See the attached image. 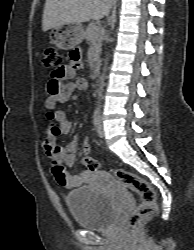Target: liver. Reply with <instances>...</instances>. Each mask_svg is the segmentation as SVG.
I'll list each match as a JSON object with an SVG mask.
<instances>
[{
	"label": "liver",
	"mask_w": 194,
	"mask_h": 250,
	"mask_svg": "<svg viewBox=\"0 0 194 250\" xmlns=\"http://www.w3.org/2000/svg\"><path fill=\"white\" fill-rule=\"evenodd\" d=\"M111 6L112 0H46L42 30L101 19L109 15Z\"/></svg>",
	"instance_id": "1"
}]
</instances>
